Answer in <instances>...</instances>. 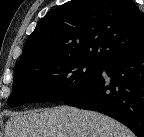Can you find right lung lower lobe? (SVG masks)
Instances as JSON below:
<instances>
[{
	"mask_svg": "<svg viewBox=\"0 0 144 137\" xmlns=\"http://www.w3.org/2000/svg\"><path fill=\"white\" fill-rule=\"evenodd\" d=\"M65 105L108 115L144 137V46L105 63L101 76Z\"/></svg>",
	"mask_w": 144,
	"mask_h": 137,
	"instance_id": "right-lung-lower-lobe-1",
	"label": "right lung lower lobe"
}]
</instances>
